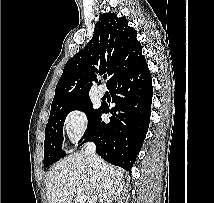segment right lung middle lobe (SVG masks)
Returning a JSON list of instances; mask_svg holds the SVG:
<instances>
[{
    "label": "right lung middle lobe",
    "mask_w": 214,
    "mask_h": 203,
    "mask_svg": "<svg viewBox=\"0 0 214 203\" xmlns=\"http://www.w3.org/2000/svg\"><path fill=\"white\" fill-rule=\"evenodd\" d=\"M73 110L83 111L87 115L88 127L82 137L85 138L91 131L100 108L94 109L90 97H87L50 111L49 120L45 129L44 167H49L65 156V153L61 150L63 124L67 114Z\"/></svg>",
    "instance_id": "obj_1"
}]
</instances>
